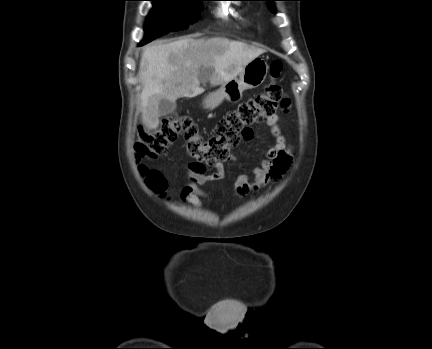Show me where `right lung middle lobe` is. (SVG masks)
Returning a JSON list of instances; mask_svg holds the SVG:
<instances>
[{
	"label": "right lung middle lobe",
	"mask_w": 432,
	"mask_h": 349,
	"mask_svg": "<svg viewBox=\"0 0 432 349\" xmlns=\"http://www.w3.org/2000/svg\"><path fill=\"white\" fill-rule=\"evenodd\" d=\"M153 1L140 46L168 31L182 30L193 24L199 14V2L204 0H150Z\"/></svg>",
	"instance_id": "obj_1"
}]
</instances>
